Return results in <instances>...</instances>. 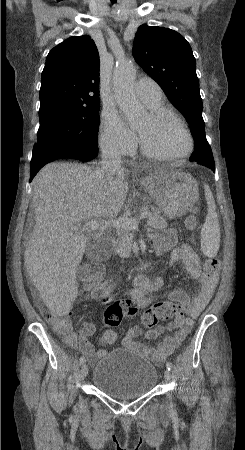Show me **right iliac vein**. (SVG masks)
Instances as JSON below:
<instances>
[{
    "label": "right iliac vein",
    "mask_w": 245,
    "mask_h": 450,
    "mask_svg": "<svg viewBox=\"0 0 245 450\" xmlns=\"http://www.w3.org/2000/svg\"><path fill=\"white\" fill-rule=\"evenodd\" d=\"M88 374V366L83 364L80 369L81 379L84 380Z\"/></svg>",
    "instance_id": "1"
}]
</instances>
